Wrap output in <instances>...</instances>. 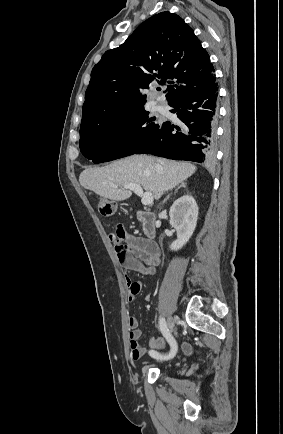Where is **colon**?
I'll use <instances>...</instances> for the list:
<instances>
[{"instance_id": "5ec220e1", "label": "colon", "mask_w": 283, "mask_h": 434, "mask_svg": "<svg viewBox=\"0 0 283 434\" xmlns=\"http://www.w3.org/2000/svg\"><path fill=\"white\" fill-rule=\"evenodd\" d=\"M99 211L104 216H112L115 213V203L110 199L100 198L98 200Z\"/></svg>"}]
</instances>
